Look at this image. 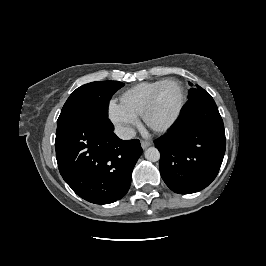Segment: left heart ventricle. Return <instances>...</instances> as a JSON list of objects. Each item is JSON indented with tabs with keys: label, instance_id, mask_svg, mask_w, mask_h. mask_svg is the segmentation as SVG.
I'll use <instances>...</instances> for the list:
<instances>
[{
	"label": "left heart ventricle",
	"instance_id": "1",
	"mask_svg": "<svg viewBox=\"0 0 266 266\" xmlns=\"http://www.w3.org/2000/svg\"><path fill=\"white\" fill-rule=\"evenodd\" d=\"M180 99L181 92L176 83L163 86L149 115L151 125L159 127L166 124L175 114Z\"/></svg>",
	"mask_w": 266,
	"mask_h": 266
}]
</instances>
